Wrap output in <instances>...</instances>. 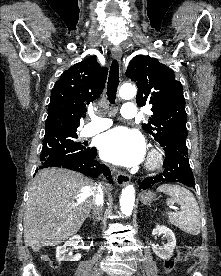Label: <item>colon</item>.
<instances>
[{
  "mask_svg": "<svg viewBox=\"0 0 221 276\" xmlns=\"http://www.w3.org/2000/svg\"><path fill=\"white\" fill-rule=\"evenodd\" d=\"M191 250H192V248L189 245L179 246L178 250H177L176 260L165 261V263H164L165 272L171 273L174 270L176 263H184L185 261H187V259L191 255ZM50 262L53 267L58 266V262H56V261H50Z\"/></svg>",
  "mask_w": 221,
  "mask_h": 276,
  "instance_id": "obj_1",
  "label": "colon"
}]
</instances>
